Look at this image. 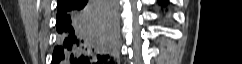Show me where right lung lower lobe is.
<instances>
[{
	"label": "right lung lower lobe",
	"instance_id": "98d812e1",
	"mask_svg": "<svg viewBox=\"0 0 242 64\" xmlns=\"http://www.w3.org/2000/svg\"><path fill=\"white\" fill-rule=\"evenodd\" d=\"M117 18V0H66L57 8L52 64H111Z\"/></svg>",
	"mask_w": 242,
	"mask_h": 64
}]
</instances>
